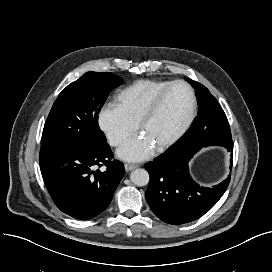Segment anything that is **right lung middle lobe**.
Returning <instances> with one entry per match:
<instances>
[{"instance_id": "1", "label": "right lung middle lobe", "mask_w": 272, "mask_h": 272, "mask_svg": "<svg viewBox=\"0 0 272 272\" xmlns=\"http://www.w3.org/2000/svg\"><path fill=\"white\" fill-rule=\"evenodd\" d=\"M123 80L110 72H87L58 96L45 122L41 147L106 143L98 113L109 92Z\"/></svg>"}]
</instances>
